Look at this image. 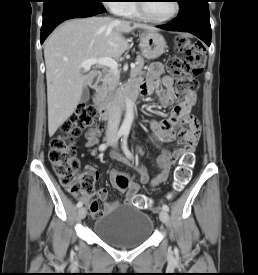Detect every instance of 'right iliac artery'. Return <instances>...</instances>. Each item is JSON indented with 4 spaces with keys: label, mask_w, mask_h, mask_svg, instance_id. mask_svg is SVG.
I'll return each instance as SVG.
<instances>
[{
    "label": "right iliac artery",
    "mask_w": 258,
    "mask_h": 275,
    "mask_svg": "<svg viewBox=\"0 0 258 275\" xmlns=\"http://www.w3.org/2000/svg\"><path fill=\"white\" fill-rule=\"evenodd\" d=\"M123 134H124L123 131H119V132L117 133V135H116L115 140H118ZM107 146H108V144H101V145L99 146V150H100V151H104V150L107 148ZM82 205H83V202H82V201H79V202L77 203V207H78V208L82 207Z\"/></svg>",
    "instance_id": "82829eb1"
}]
</instances>
